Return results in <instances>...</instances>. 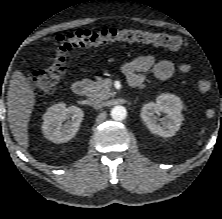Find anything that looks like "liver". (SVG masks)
Returning a JSON list of instances; mask_svg holds the SVG:
<instances>
[{"instance_id": "obj_1", "label": "liver", "mask_w": 222, "mask_h": 219, "mask_svg": "<svg viewBox=\"0 0 222 219\" xmlns=\"http://www.w3.org/2000/svg\"><path fill=\"white\" fill-rule=\"evenodd\" d=\"M34 105L35 94L28 79L20 70L14 71L7 96L8 122L14 139L24 149L29 147L28 123Z\"/></svg>"}]
</instances>
